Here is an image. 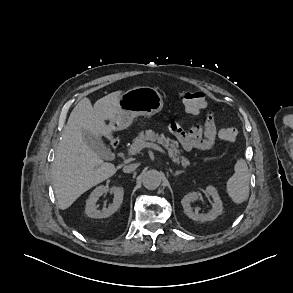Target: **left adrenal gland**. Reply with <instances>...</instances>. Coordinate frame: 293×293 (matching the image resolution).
Listing matches in <instances>:
<instances>
[{
	"mask_svg": "<svg viewBox=\"0 0 293 293\" xmlns=\"http://www.w3.org/2000/svg\"><path fill=\"white\" fill-rule=\"evenodd\" d=\"M182 173H184V171L183 170H179V171H176L175 173L172 172V175L175 176V177H177L179 174H182Z\"/></svg>",
	"mask_w": 293,
	"mask_h": 293,
	"instance_id": "a2214340",
	"label": "left adrenal gland"
}]
</instances>
